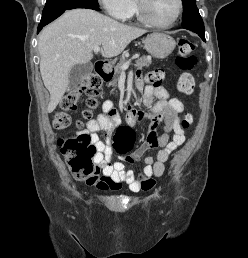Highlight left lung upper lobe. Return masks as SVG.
I'll return each instance as SVG.
<instances>
[{
  "instance_id": "obj_1",
  "label": "left lung upper lobe",
  "mask_w": 248,
  "mask_h": 258,
  "mask_svg": "<svg viewBox=\"0 0 248 258\" xmlns=\"http://www.w3.org/2000/svg\"><path fill=\"white\" fill-rule=\"evenodd\" d=\"M184 11L182 16V26L203 24L195 0H182Z\"/></svg>"
}]
</instances>
